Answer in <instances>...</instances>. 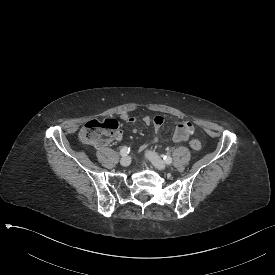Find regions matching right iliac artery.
<instances>
[{
	"instance_id": "82829eb1",
	"label": "right iliac artery",
	"mask_w": 275,
	"mask_h": 275,
	"mask_svg": "<svg viewBox=\"0 0 275 275\" xmlns=\"http://www.w3.org/2000/svg\"><path fill=\"white\" fill-rule=\"evenodd\" d=\"M130 152V147L123 146L120 150L121 156H127Z\"/></svg>"
}]
</instances>
